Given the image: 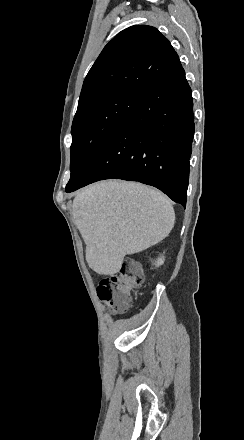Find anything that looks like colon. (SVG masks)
Here are the masks:
<instances>
[{
  "label": "colon",
  "instance_id": "5ec220e1",
  "mask_svg": "<svg viewBox=\"0 0 244 440\" xmlns=\"http://www.w3.org/2000/svg\"><path fill=\"white\" fill-rule=\"evenodd\" d=\"M142 282L143 277L137 262L126 260L115 274L101 279L97 285L96 295L110 313H122L127 310Z\"/></svg>",
  "mask_w": 244,
  "mask_h": 440
}]
</instances>
